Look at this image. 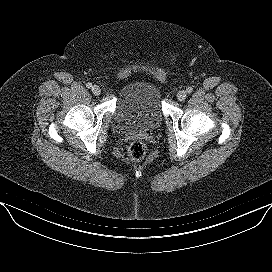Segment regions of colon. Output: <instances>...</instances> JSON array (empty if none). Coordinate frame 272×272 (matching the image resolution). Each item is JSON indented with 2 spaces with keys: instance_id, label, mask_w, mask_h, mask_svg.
Wrapping results in <instances>:
<instances>
[{
  "instance_id": "5ec220e1",
  "label": "colon",
  "mask_w": 272,
  "mask_h": 272,
  "mask_svg": "<svg viewBox=\"0 0 272 272\" xmlns=\"http://www.w3.org/2000/svg\"><path fill=\"white\" fill-rule=\"evenodd\" d=\"M145 152L146 146L140 140L133 141L129 147V155L135 161L142 160L145 155Z\"/></svg>"
}]
</instances>
